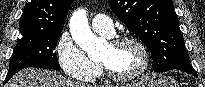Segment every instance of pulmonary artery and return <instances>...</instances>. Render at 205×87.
<instances>
[{"mask_svg":"<svg viewBox=\"0 0 205 87\" xmlns=\"http://www.w3.org/2000/svg\"><path fill=\"white\" fill-rule=\"evenodd\" d=\"M91 26L94 31L105 36H112L114 34L113 22L109 16L103 13L95 15L91 20Z\"/></svg>","mask_w":205,"mask_h":87,"instance_id":"1","label":"pulmonary artery"}]
</instances>
